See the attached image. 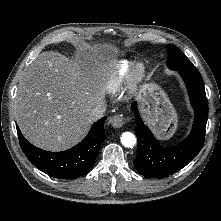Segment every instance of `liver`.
Listing matches in <instances>:
<instances>
[{"instance_id":"6515ba94","label":"liver","mask_w":221,"mask_h":221,"mask_svg":"<svg viewBox=\"0 0 221 221\" xmlns=\"http://www.w3.org/2000/svg\"><path fill=\"white\" fill-rule=\"evenodd\" d=\"M118 50L109 44L79 47L76 61L41 53L19 81L15 117L24 137L48 151L79 143L95 121L92 110L105 102V81Z\"/></svg>"}]
</instances>
